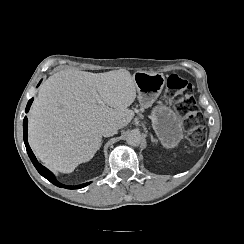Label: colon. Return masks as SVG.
Masks as SVG:
<instances>
[{
	"label": "colon",
	"mask_w": 244,
	"mask_h": 244,
	"mask_svg": "<svg viewBox=\"0 0 244 244\" xmlns=\"http://www.w3.org/2000/svg\"><path fill=\"white\" fill-rule=\"evenodd\" d=\"M164 96L173 101L178 114L186 118V125L190 129V142L202 144L206 139V128L202 124L203 115L192 96L191 84L180 76L172 74L167 78Z\"/></svg>",
	"instance_id": "colon-1"
}]
</instances>
